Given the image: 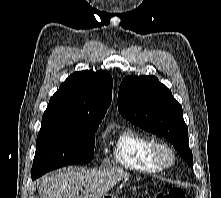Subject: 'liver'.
I'll use <instances>...</instances> for the list:
<instances>
[{
	"label": "liver",
	"mask_w": 221,
	"mask_h": 198,
	"mask_svg": "<svg viewBox=\"0 0 221 198\" xmlns=\"http://www.w3.org/2000/svg\"><path fill=\"white\" fill-rule=\"evenodd\" d=\"M129 174L119 168L111 169H60L42 178L40 198H101ZM85 190L79 195L82 187Z\"/></svg>",
	"instance_id": "6515ba94"
}]
</instances>
